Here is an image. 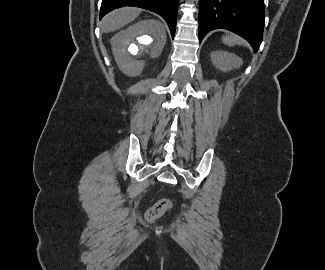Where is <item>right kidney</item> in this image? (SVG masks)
Returning <instances> with one entry per match:
<instances>
[{
  "instance_id": "1",
  "label": "right kidney",
  "mask_w": 325,
  "mask_h": 270,
  "mask_svg": "<svg viewBox=\"0 0 325 270\" xmlns=\"http://www.w3.org/2000/svg\"><path fill=\"white\" fill-rule=\"evenodd\" d=\"M165 43V29L156 20L140 21L111 38L118 67L132 77L140 75L152 59L160 56Z\"/></svg>"
}]
</instances>
